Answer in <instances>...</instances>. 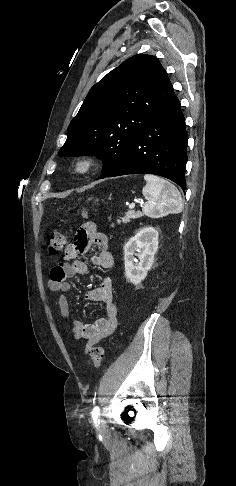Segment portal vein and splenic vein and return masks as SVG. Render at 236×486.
<instances>
[{
	"label": "portal vein and splenic vein",
	"mask_w": 236,
	"mask_h": 486,
	"mask_svg": "<svg viewBox=\"0 0 236 486\" xmlns=\"http://www.w3.org/2000/svg\"><path fill=\"white\" fill-rule=\"evenodd\" d=\"M135 208V203L129 205V209L133 210Z\"/></svg>",
	"instance_id": "1"
}]
</instances>
